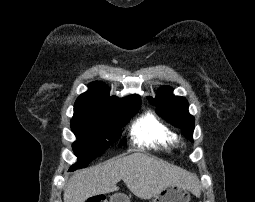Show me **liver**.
<instances>
[{
    "label": "liver",
    "mask_w": 255,
    "mask_h": 202,
    "mask_svg": "<svg viewBox=\"0 0 255 202\" xmlns=\"http://www.w3.org/2000/svg\"><path fill=\"white\" fill-rule=\"evenodd\" d=\"M120 180L141 199H150L170 185L192 192H196L198 186L197 178L186 170L134 153L71 176L64 190V202H85L90 197L117 191L116 184Z\"/></svg>",
    "instance_id": "liver-1"
}]
</instances>
